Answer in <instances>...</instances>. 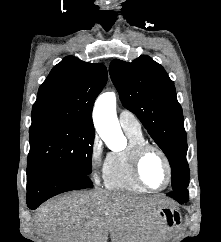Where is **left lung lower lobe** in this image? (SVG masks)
<instances>
[{
    "label": "left lung lower lobe",
    "mask_w": 221,
    "mask_h": 242,
    "mask_svg": "<svg viewBox=\"0 0 221 242\" xmlns=\"http://www.w3.org/2000/svg\"><path fill=\"white\" fill-rule=\"evenodd\" d=\"M168 196L174 198L179 203L183 204L188 201V191L187 189L176 190L167 194Z\"/></svg>",
    "instance_id": "1"
}]
</instances>
